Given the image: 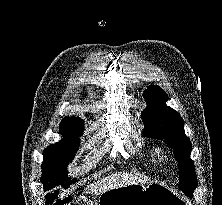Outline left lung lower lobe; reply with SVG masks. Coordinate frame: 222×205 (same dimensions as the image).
I'll return each instance as SVG.
<instances>
[{"label":"left lung lower lobe","mask_w":222,"mask_h":205,"mask_svg":"<svg viewBox=\"0 0 222 205\" xmlns=\"http://www.w3.org/2000/svg\"><path fill=\"white\" fill-rule=\"evenodd\" d=\"M185 194H186V193H185ZM186 195L192 198V193H191V194H186Z\"/></svg>","instance_id":"obj_1"}]
</instances>
